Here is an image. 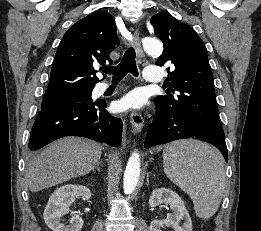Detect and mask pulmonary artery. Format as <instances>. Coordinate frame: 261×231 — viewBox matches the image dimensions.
<instances>
[{
  "label": "pulmonary artery",
  "mask_w": 261,
  "mask_h": 231,
  "mask_svg": "<svg viewBox=\"0 0 261 231\" xmlns=\"http://www.w3.org/2000/svg\"><path fill=\"white\" fill-rule=\"evenodd\" d=\"M161 68L157 66H147L144 68V79L147 82L159 83L161 82Z\"/></svg>",
  "instance_id": "obj_1"
}]
</instances>
